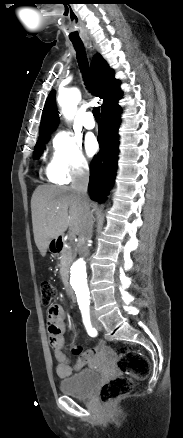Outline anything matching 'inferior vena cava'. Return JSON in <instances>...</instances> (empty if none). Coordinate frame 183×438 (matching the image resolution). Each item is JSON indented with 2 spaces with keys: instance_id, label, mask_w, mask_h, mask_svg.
I'll use <instances>...</instances> for the list:
<instances>
[{
  "instance_id": "inferior-vena-cava-1",
  "label": "inferior vena cava",
  "mask_w": 183,
  "mask_h": 438,
  "mask_svg": "<svg viewBox=\"0 0 183 438\" xmlns=\"http://www.w3.org/2000/svg\"><path fill=\"white\" fill-rule=\"evenodd\" d=\"M89 181V170L87 165L77 168L74 171L71 188L77 193L84 205L83 230L79 234L78 252L86 257L88 255V242L92 237L93 216L90 211L87 187Z\"/></svg>"
}]
</instances>
